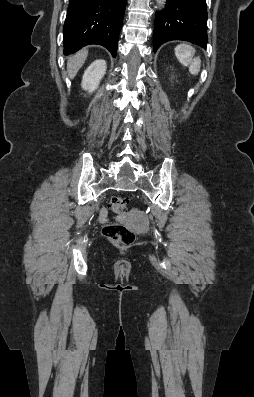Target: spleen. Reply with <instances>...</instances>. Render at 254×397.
Wrapping results in <instances>:
<instances>
[{"mask_svg": "<svg viewBox=\"0 0 254 397\" xmlns=\"http://www.w3.org/2000/svg\"><path fill=\"white\" fill-rule=\"evenodd\" d=\"M174 51L179 62L184 66H189L192 75H197L200 72L201 60L200 57H194L195 49L193 47L188 44H179Z\"/></svg>", "mask_w": 254, "mask_h": 397, "instance_id": "3e777b00", "label": "spleen"}]
</instances>
